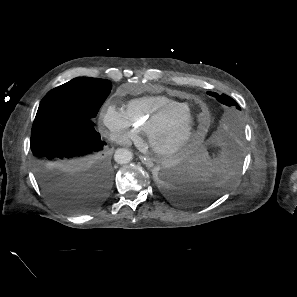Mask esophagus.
<instances>
[{"label":"esophagus","mask_w":297,"mask_h":297,"mask_svg":"<svg viewBox=\"0 0 297 297\" xmlns=\"http://www.w3.org/2000/svg\"><path fill=\"white\" fill-rule=\"evenodd\" d=\"M140 160L148 168H152L154 166L152 159L147 156H140Z\"/></svg>","instance_id":"1"}]
</instances>
